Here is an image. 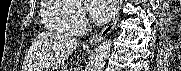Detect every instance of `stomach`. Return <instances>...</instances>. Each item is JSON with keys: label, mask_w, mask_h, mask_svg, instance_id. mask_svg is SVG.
Segmentation results:
<instances>
[{"label": "stomach", "mask_w": 181, "mask_h": 71, "mask_svg": "<svg viewBox=\"0 0 181 71\" xmlns=\"http://www.w3.org/2000/svg\"><path fill=\"white\" fill-rule=\"evenodd\" d=\"M65 71V68L62 66V65H55V66H52V67H49V68H46L45 71Z\"/></svg>", "instance_id": "stomach-1"}]
</instances>
